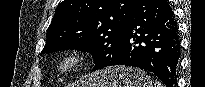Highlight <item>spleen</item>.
<instances>
[{
  "label": "spleen",
  "instance_id": "1",
  "mask_svg": "<svg viewBox=\"0 0 205 87\" xmlns=\"http://www.w3.org/2000/svg\"><path fill=\"white\" fill-rule=\"evenodd\" d=\"M155 87H162V84L160 82H156Z\"/></svg>",
  "mask_w": 205,
  "mask_h": 87
}]
</instances>
